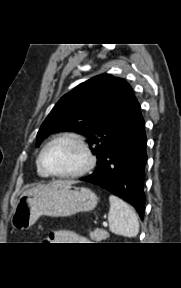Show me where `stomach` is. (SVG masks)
I'll list each match as a JSON object with an SVG mask.
<instances>
[{
	"mask_svg": "<svg viewBox=\"0 0 181 288\" xmlns=\"http://www.w3.org/2000/svg\"><path fill=\"white\" fill-rule=\"evenodd\" d=\"M97 203L98 198L90 189L55 181L42 190L21 196L14 208L11 225L17 230H27L42 215L68 217L91 211Z\"/></svg>",
	"mask_w": 181,
	"mask_h": 288,
	"instance_id": "1",
	"label": "stomach"
}]
</instances>
